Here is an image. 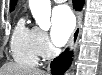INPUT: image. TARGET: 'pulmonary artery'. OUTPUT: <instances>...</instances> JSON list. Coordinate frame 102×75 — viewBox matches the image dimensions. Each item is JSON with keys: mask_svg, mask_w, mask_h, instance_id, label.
<instances>
[{"mask_svg": "<svg viewBox=\"0 0 102 75\" xmlns=\"http://www.w3.org/2000/svg\"><path fill=\"white\" fill-rule=\"evenodd\" d=\"M57 2L62 3V2H66V0H58Z\"/></svg>", "mask_w": 102, "mask_h": 75, "instance_id": "1", "label": "pulmonary artery"}]
</instances>
